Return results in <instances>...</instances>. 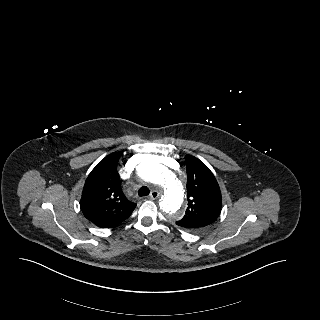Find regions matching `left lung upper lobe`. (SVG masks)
<instances>
[{
  "label": "left lung upper lobe",
  "mask_w": 320,
  "mask_h": 320,
  "mask_svg": "<svg viewBox=\"0 0 320 320\" xmlns=\"http://www.w3.org/2000/svg\"><path fill=\"white\" fill-rule=\"evenodd\" d=\"M188 207L176 224L198 231L213 223L221 211V192L209 168L198 158L186 155Z\"/></svg>",
  "instance_id": "left-lung-upper-lobe-1"
}]
</instances>
